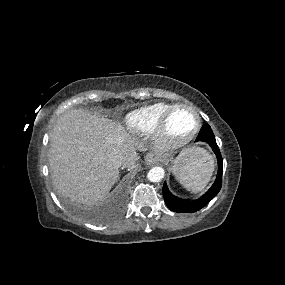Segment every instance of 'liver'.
<instances>
[{
    "mask_svg": "<svg viewBox=\"0 0 285 285\" xmlns=\"http://www.w3.org/2000/svg\"><path fill=\"white\" fill-rule=\"evenodd\" d=\"M144 146L110 119L80 109L64 113L53 128L49 150L52 178L59 192L71 200L95 205L119 178L113 156L133 168Z\"/></svg>",
    "mask_w": 285,
    "mask_h": 285,
    "instance_id": "1",
    "label": "liver"
}]
</instances>
